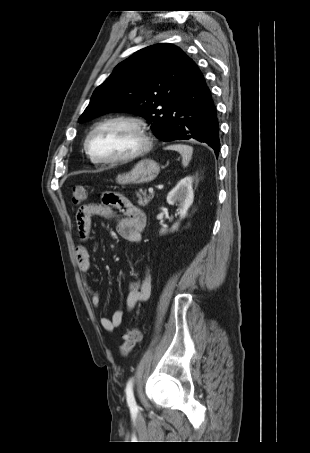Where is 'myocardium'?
<instances>
[{
    "label": "myocardium",
    "mask_w": 310,
    "mask_h": 453,
    "mask_svg": "<svg viewBox=\"0 0 310 453\" xmlns=\"http://www.w3.org/2000/svg\"><path fill=\"white\" fill-rule=\"evenodd\" d=\"M117 122H122V123H127L130 124L135 128L137 133L139 134V137L141 139V145L140 147L135 150L134 152L122 156V157H117V158H103L95 155L91 149L90 142L92 136L102 127L112 124V123H117ZM152 147V139L151 136L148 132V129L145 125L144 122H142L140 119L132 116H114V117H109L106 118L97 124L94 125V127L89 131V133L86 136L85 142H84V148L87 153V155L90 157V159L93 162L100 163V164H118V163H126L132 160H135L145 153H147Z\"/></svg>",
    "instance_id": "myocardium-1"
}]
</instances>
